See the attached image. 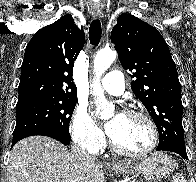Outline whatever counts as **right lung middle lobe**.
<instances>
[{"mask_svg": "<svg viewBox=\"0 0 196 182\" xmlns=\"http://www.w3.org/2000/svg\"><path fill=\"white\" fill-rule=\"evenodd\" d=\"M75 105L76 97L38 99L16 105L13 138L35 130H50L71 139L69 123Z\"/></svg>", "mask_w": 196, "mask_h": 182, "instance_id": "dd1d6c3e", "label": "right lung middle lobe"}]
</instances>
